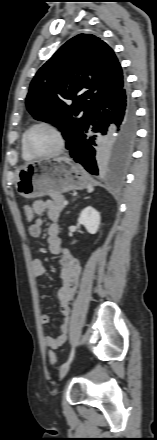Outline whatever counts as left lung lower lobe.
I'll list each match as a JSON object with an SVG mask.
<instances>
[{"instance_id": "left-lung-lower-lobe-1", "label": "left lung lower lobe", "mask_w": 157, "mask_h": 440, "mask_svg": "<svg viewBox=\"0 0 157 440\" xmlns=\"http://www.w3.org/2000/svg\"><path fill=\"white\" fill-rule=\"evenodd\" d=\"M135 132L134 103L123 87L95 107L68 150L90 174H119L129 159Z\"/></svg>"}]
</instances>
